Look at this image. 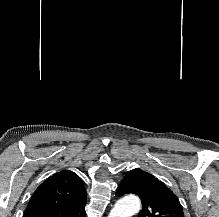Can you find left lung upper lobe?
<instances>
[{
    "instance_id": "5c2ea615",
    "label": "left lung upper lobe",
    "mask_w": 219,
    "mask_h": 217,
    "mask_svg": "<svg viewBox=\"0 0 219 217\" xmlns=\"http://www.w3.org/2000/svg\"><path fill=\"white\" fill-rule=\"evenodd\" d=\"M133 193L143 208L138 217H184L177 196L161 181L139 168L131 170L121 181L116 196Z\"/></svg>"
}]
</instances>
